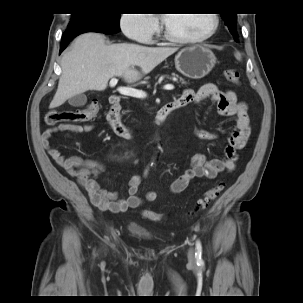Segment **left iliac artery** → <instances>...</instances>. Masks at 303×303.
I'll list each match as a JSON object with an SVG mask.
<instances>
[{"label": "left iliac artery", "mask_w": 303, "mask_h": 303, "mask_svg": "<svg viewBox=\"0 0 303 303\" xmlns=\"http://www.w3.org/2000/svg\"><path fill=\"white\" fill-rule=\"evenodd\" d=\"M196 259L198 262H202V245L199 240L196 241V253H195Z\"/></svg>", "instance_id": "left-iliac-artery-1"}]
</instances>
